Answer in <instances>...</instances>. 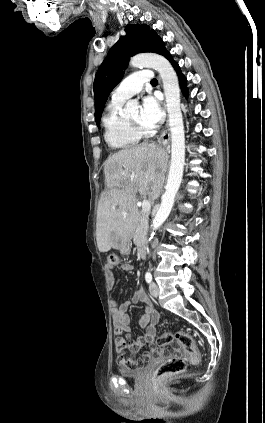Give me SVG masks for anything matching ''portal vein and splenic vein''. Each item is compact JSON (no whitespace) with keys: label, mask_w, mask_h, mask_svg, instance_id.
<instances>
[{"label":"portal vein and splenic vein","mask_w":265,"mask_h":423,"mask_svg":"<svg viewBox=\"0 0 265 423\" xmlns=\"http://www.w3.org/2000/svg\"><path fill=\"white\" fill-rule=\"evenodd\" d=\"M150 209H151V203H150V201L144 199L142 201V210L144 212H148V211H150Z\"/></svg>","instance_id":"obj_1"}]
</instances>
